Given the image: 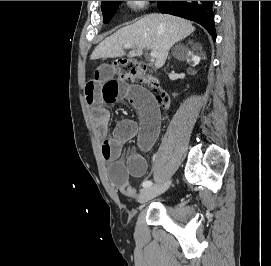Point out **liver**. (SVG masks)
Wrapping results in <instances>:
<instances>
[{
  "mask_svg": "<svg viewBox=\"0 0 271 266\" xmlns=\"http://www.w3.org/2000/svg\"><path fill=\"white\" fill-rule=\"evenodd\" d=\"M194 31L191 22L182 18L169 14H148L103 40L93 51L91 59L124 56V45L130 44L137 56L142 55L145 48L156 51L155 67L159 69L165 64L170 48Z\"/></svg>",
  "mask_w": 271,
  "mask_h": 266,
  "instance_id": "liver-1",
  "label": "liver"
}]
</instances>
